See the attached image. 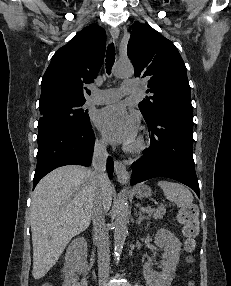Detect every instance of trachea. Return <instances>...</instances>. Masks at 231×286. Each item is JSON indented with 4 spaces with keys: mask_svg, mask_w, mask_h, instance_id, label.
Wrapping results in <instances>:
<instances>
[{
    "mask_svg": "<svg viewBox=\"0 0 231 286\" xmlns=\"http://www.w3.org/2000/svg\"><path fill=\"white\" fill-rule=\"evenodd\" d=\"M114 62H115V47L114 44L111 43L108 45L106 52V72L108 75L111 74V69L113 67Z\"/></svg>",
    "mask_w": 231,
    "mask_h": 286,
    "instance_id": "1",
    "label": "trachea"
}]
</instances>
